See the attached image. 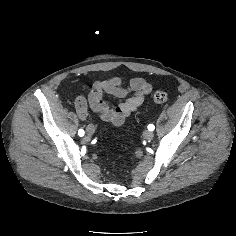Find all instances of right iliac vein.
Returning a JSON list of instances; mask_svg holds the SVG:
<instances>
[{
	"label": "right iliac vein",
	"mask_w": 236,
	"mask_h": 236,
	"mask_svg": "<svg viewBox=\"0 0 236 236\" xmlns=\"http://www.w3.org/2000/svg\"><path fill=\"white\" fill-rule=\"evenodd\" d=\"M86 132L89 136H92L95 132V127L93 125H88L86 128Z\"/></svg>",
	"instance_id": "1"
}]
</instances>
